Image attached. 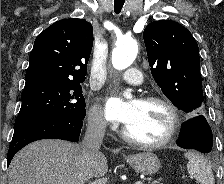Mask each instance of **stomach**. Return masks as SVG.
Wrapping results in <instances>:
<instances>
[{
    "instance_id": "stomach-1",
    "label": "stomach",
    "mask_w": 224,
    "mask_h": 184,
    "mask_svg": "<svg viewBox=\"0 0 224 184\" xmlns=\"http://www.w3.org/2000/svg\"><path fill=\"white\" fill-rule=\"evenodd\" d=\"M125 160L136 172L149 176L155 174L161 166L158 157L149 152L129 155Z\"/></svg>"
}]
</instances>
